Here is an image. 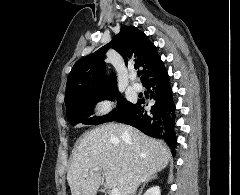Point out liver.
Masks as SVG:
<instances>
[{"label":"liver","instance_id":"obj_1","mask_svg":"<svg viewBox=\"0 0 240 195\" xmlns=\"http://www.w3.org/2000/svg\"><path fill=\"white\" fill-rule=\"evenodd\" d=\"M170 157L161 139L124 123H103L83 133L74 151L67 173L71 195H96L101 175L105 189L117 187L121 195H130L135 175L146 181L164 169ZM93 167H101L102 173Z\"/></svg>","mask_w":240,"mask_h":195}]
</instances>
